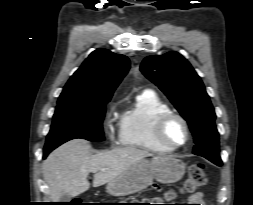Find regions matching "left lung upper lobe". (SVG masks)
Listing matches in <instances>:
<instances>
[{"mask_svg": "<svg viewBox=\"0 0 253 205\" xmlns=\"http://www.w3.org/2000/svg\"><path fill=\"white\" fill-rule=\"evenodd\" d=\"M140 69L166 94L188 122L195 142L193 153L221 166L214 108L190 63L179 53L171 51L161 56L146 57Z\"/></svg>", "mask_w": 253, "mask_h": 205, "instance_id": "obj_1", "label": "left lung upper lobe"}]
</instances>
